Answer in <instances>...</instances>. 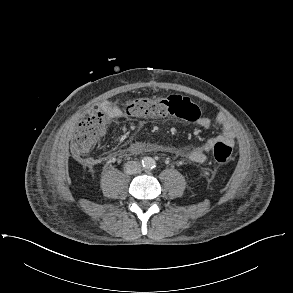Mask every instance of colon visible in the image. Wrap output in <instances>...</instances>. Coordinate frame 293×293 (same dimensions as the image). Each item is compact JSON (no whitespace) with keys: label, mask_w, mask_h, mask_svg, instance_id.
Segmentation results:
<instances>
[{"label":"colon","mask_w":293,"mask_h":293,"mask_svg":"<svg viewBox=\"0 0 293 293\" xmlns=\"http://www.w3.org/2000/svg\"><path fill=\"white\" fill-rule=\"evenodd\" d=\"M133 118H160L174 116L195 121L200 117L199 107L182 95H170L161 99L138 98L130 101L124 110ZM109 119L104 111H96L84 118L78 125L72 143V151L77 157L87 153L103 135ZM213 154L216 161L228 163L232 159L233 149L224 141L214 144Z\"/></svg>","instance_id":"colon-1"}]
</instances>
